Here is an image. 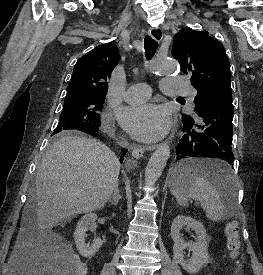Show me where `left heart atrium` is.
<instances>
[{
    "label": "left heart atrium",
    "mask_w": 263,
    "mask_h": 275,
    "mask_svg": "<svg viewBox=\"0 0 263 275\" xmlns=\"http://www.w3.org/2000/svg\"><path fill=\"white\" fill-rule=\"evenodd\" d=\"M121 123L132 136L145 142L162 138L169 128L165 110L153 103L128 107L121 115Z\"/></svg>",
    "instance_id": "1"
}]
</instances>
